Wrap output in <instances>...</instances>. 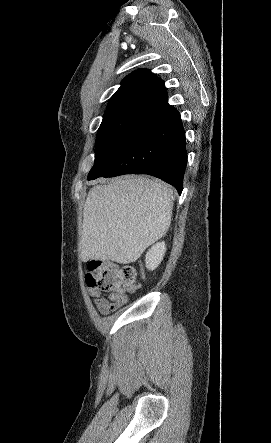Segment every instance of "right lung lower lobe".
Segmentation results:
<instances>
[{"label": "right lung lower lobe", "instance_id": "right-lung-lower-lobe-1", "mask_svg": "<svg viewBox=\"0 0 271 443\" xmlns=\"http://www.w3.org/2000/svg\"><path fill=\"white\" fill-rule=\"evenodd\" d=\"M187 164L179 112L167 101L154 105L124 137L109 163L88 180L124 174H148L183 189Z\"/></svg>", "mask_w": 271, "mask_h": 443}]
</instances>
